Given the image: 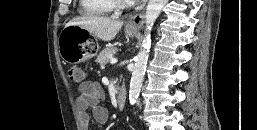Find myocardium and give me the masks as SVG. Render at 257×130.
Wrapping results in <instances>:
<instances>
[{"instance_id": "myocardium-1", "label": "myocardium", "mask_w": 257, "mask_h": 130, "mask_svg": "<svg viewBox=\"0 0 257 130\" xmlns=\"http://www.w3.org/2000/svg\"><path fill=\"white\" fill-rule=\"evenodd\" d=\"M109 2L114 9L118 10L131 8L134 4L131 0H109Z\"/></svg>"}]
</instances>
